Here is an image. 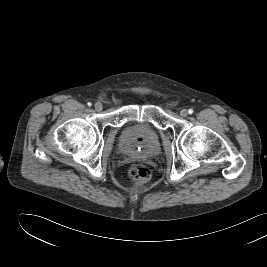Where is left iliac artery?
I'll return each mask as SVG.
<instances>
[{
    "instance_id": "left-iliac-artery-1",
    "label": "left iliac artery",
    "mask_w": 267,
    "mask_h": 267,
    "mask_svg": "<svg viewBox=\"0 0 267 267\" xmlns=\"http://www.w3.org/2000/svg\"><path fill=\"white\" fill-rule=\"evenodd\" d=\"M193 112H194L193 109H189L188 111L189 114H193Z\"/></svg>"
}]
</instances>
